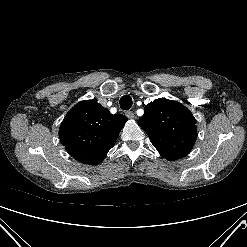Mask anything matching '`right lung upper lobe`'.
Here are the masks:
<instances>
[{"mask_svg":"<svg viewBox=\"0 0 247 247\" xmlns=\"http://www.w3.org/2000/svg\"><path fill=\"white\" fill-rule=\"evenodd\" d=\"M128 118L112 115L96 100L76 104L59 129L62 145L79 162L97 165L103 161Z\"/></svg>","mask_w":247,"mask_h":247,"instance_id":"right-lung-upper-lobe-1","label":"right lung upper lobe"}]
</instances>
